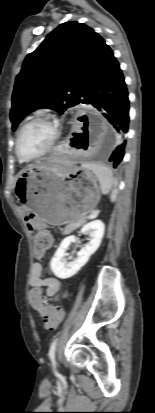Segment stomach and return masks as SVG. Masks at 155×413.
Segmentation results:
<instances>
[{
	"label": "stomach",
	"mask_w": 155,
	"mask_h": 413,
	"mask_svg": "<svg viewBox=\"0 0 155 413\" xmlns=\"http://www.w3.org/2000/svg\"><path fill=\"white\" fill-rule=\"evenodd\" d=\"M96 176L83 167L62 166L48 160L20 171L15 194L21 205L51 225L83 221L100 200Z\"/></svg>",
	"instance_id": "0dacf381"
}]
</instances>
